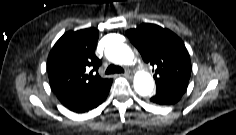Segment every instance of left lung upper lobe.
<instances>
[{"mask_svg":"<svg viewBox=\"0 0 236 135\" xmlns=\"http://www.w3.org/2000/svg\"><path fill=\"white\" fill-rule=\"evenodd\" d=\"M143 60L155 67L157 85L188 83L191 75L189 53L182 40L168 29L144 23L126 31Z\"/></svg>","mask_w":236,"mask_h":135,"instance_id":"obj_1","label":"left lung upper lobe"}]
</instances>
